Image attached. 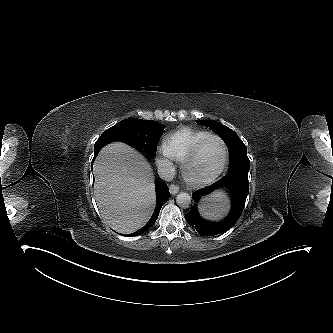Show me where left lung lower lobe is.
Wrapping results in <instances>:
<instances>
[{"instance_id": "1", "label": "left lung lower lobe", "mask_w": 333, "mask_h": 333, "mask_svg": "<svg viewBox=\"0 0 333 333\" xmlns=\"http://www.w3.org/2000/svg\"><path fill=\"white\" fill-rule=\"evenodd\" d=\"M224 186L227 188L232 199V208L228 217L222 222L213 223L202 219L197 211V206L193 205L185 215L186 221L202 236H213L229 230L240 218L245 201L249 192L248 179H233L227 176L222 177L210 187L198 190L192 194L194 201L199 199L214 189Z\"/></svg>"}]
</instances>
